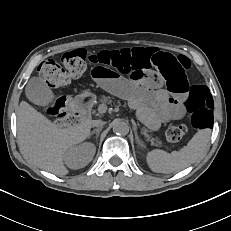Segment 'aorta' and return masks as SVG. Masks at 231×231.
<instances>
[{
	"label": "aorta",
	"mask_w": 231,
	"mask_h": 231,
	"mask_svg": "<svg viewBox=\"0 0 231 231\" xmlns=\"http://www.w3.org/2000/svg\"><path fill=\"white\" fill-rule=\"evenodd\" d=\"M113 132L118 135H127L129 126L126 122L117 119L113 122Z\"/></svg>",
	"instance_id": "obj_1"
}]
</instances>
